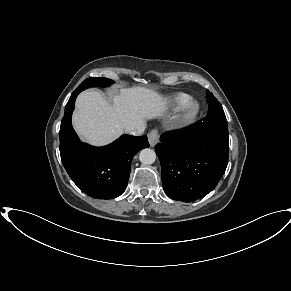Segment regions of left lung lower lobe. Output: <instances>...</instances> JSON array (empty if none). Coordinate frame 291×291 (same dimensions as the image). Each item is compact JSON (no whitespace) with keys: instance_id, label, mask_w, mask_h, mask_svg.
<instances>
[{"instance_id":"1","label":"left lung lower lobe","mask_w":291,"mask_h":291,"mask_svg":"<svg viewBox=\"0 0 291 291\" xmlns=\"http://www.w3.org/2000/svg\"><path fill=\"white\" fill-rule=\"evenodd\" d=\"M155 150L166 195L183 202L200 199L216 187L228 164L226 116L207 115L189 127L166 132Z\"/></svg>"}]
</instances>
